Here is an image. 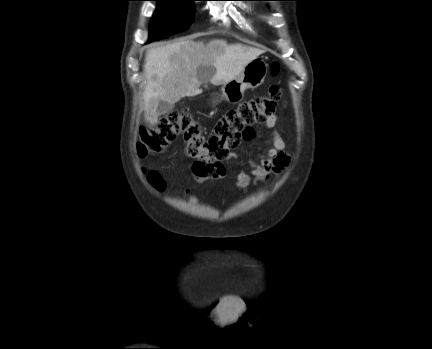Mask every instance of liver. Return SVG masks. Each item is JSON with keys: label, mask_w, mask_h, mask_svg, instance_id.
<instances>
[{"label": "liver", "mask_w": 432, "mask_h": 349, "mask_svg": "<svg viewBox=\"0 0 432 349\" xmlns=\"http://www.w3.org/2000/svg\"><path fill=\"white\" fill-rule=\"evenodd\" d=\"M262 53L247 45L228 44L224 39H213L207 44L187 39L150 49L144 63L145 120L151 125L157 123L160 100L174 104L183 97L202 93L201 68H213V85L224 84L240 75Z\"/></svg>", "instance_id": "liver-1"}]
</instances>
